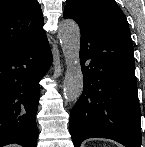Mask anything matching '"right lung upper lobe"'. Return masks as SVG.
<instances>
[{
  "instance_id": "obj_1",
  "label": "right lung upper lobe",
  "mask_w": 145,
  "mask_h": 147,
  "mask_svg": "<svg viewBox=\"0 0 145 147\" xmlns=\"http://www.w3.org/2000/svg\"><path fill=\"white\" fill-rule=\"evenodd\" d=\"M37 0H0V54L45 34Z\"/></svg>"
}]
</instances>
